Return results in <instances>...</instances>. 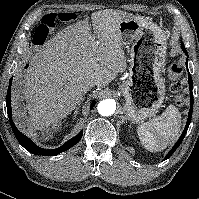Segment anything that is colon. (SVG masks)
<instances>
[{"label":"colon","instance_id":"obj_1","mask_svg":"<svg viewBox=\"0 0 199 199\" xmlns=\"http://www.w3.org/2000/svg\"><path fill=\"white\" fill-rule=\"evenodd\" d=\"M72 21V13H50L43 17L42 22L38 26L36 33H35V39L38 40H44L50 30L56 26L58 22H70ZM182 67L178 63H172L169 66V75L172 79L171 83V91L173 93L179 94L181 91V87L178 83V79L182 74ZM178 103L183 102V98L181 96H177Z\"/></svg>","mask_w":199,"mask_h":199}]
</instances>
